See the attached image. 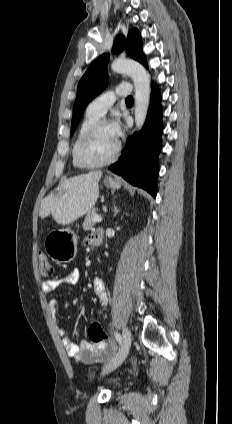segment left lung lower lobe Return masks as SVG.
<instances>
[{"instance_id":"left-lung-lower-lobe-1","label":"left lung lower lobe","mask_w":232,"mask_h":424,"mask_svg":"<svg viewBox=\"0 0 232 424\" xmlns=\"http://www.w3.org/2000/svg\"><path fill=\"white\" fill-rule=\"evenodd\" d=\"M162 131L161 96L153 84L145 125L138 134H133L127 141L119 160L111 165L110 170L130 184L147 190L154 198L157 192Z\"/></svg>"}]
</instances>
